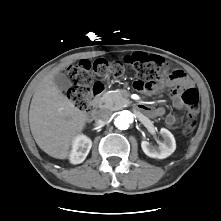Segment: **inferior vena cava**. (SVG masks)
<instances>
[{
	"label": "inferior vena cava",
	"mask_w": 221,
	"mask_h": 221,
	"mask_svg": "<svg viewBox=\"0 0 221 221\" xmlns=\"http://www.w3.org/2000/svg\"><path fill=\"white\" fill-rule=\"evenodd\" d=\"M111 115H112V112L110 110L100 109L96 111L94 119L96 122L104 124L109 121V119L111 118Z\"/></svg>",
	"instance_id": "obj_1"
}]
</instances>
